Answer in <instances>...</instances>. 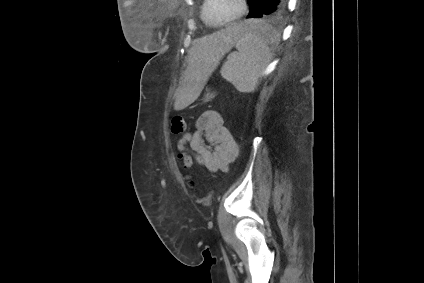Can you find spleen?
<instances>
[{
	"label": "spleen",
	"mask_w": 424,
	"mask_h": 283,
	"mask_svg": "<svg viewBox=\"0 0 424 283\" xmlns=\"http://www.w3.org/2000/svg\"><path fill=\"white\" fill-rule=\"evenodd\" d=\"M245 34L236 43L237 51L230 53L221 75L240 92H252L273 55V43L278 34L260 20L245 22ZM272 37V40L269 39Z\"/></svg>",
	"instance_id": "obj_1"
}]
</instances>
